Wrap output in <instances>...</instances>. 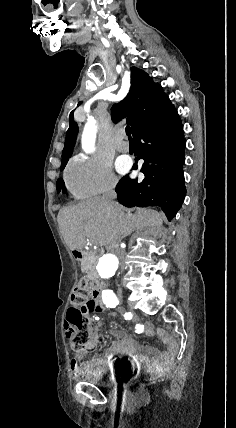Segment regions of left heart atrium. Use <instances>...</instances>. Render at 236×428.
<instances>
[{
	"mask_svg": "<svg viewBox=\"0 0 236 428\" xmlns=\"http://www.w3.org/2000/svg\"><path fill=\"white\" fill-rule=\"evenodd\" d=\"M125 170H126V168H125V167L121 168V171H125Z\"/></svg>",
	"mask_w": 236,
	"mask_h": 428,
	"instance_id": "1",
	"label": "left heart atrium"
}]
</instances>
